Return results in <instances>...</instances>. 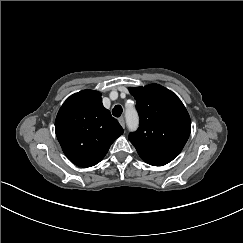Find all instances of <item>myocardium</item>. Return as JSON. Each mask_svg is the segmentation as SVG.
Segmentation results:
<instances>
[{
  "instance_id": "f54148a6",
  "label": "myocardium",
  "mask_w": 243,
  "mask_h": 243,
  "mask_svg": "<svg viewBox=\"0 0 243 243\" xmlns=\"http://www.w3.org/2000/svg\"><path fill=\"white\" fill-rule=\"evenodd\" d=\"M127 104L129 105L130 104V101H128Z\"/></svg>"
}]
</instances>
